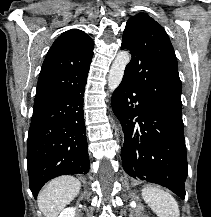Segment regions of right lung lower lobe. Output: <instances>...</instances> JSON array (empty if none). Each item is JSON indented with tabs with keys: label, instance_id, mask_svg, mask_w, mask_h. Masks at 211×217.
I'll return each instance as SVG.
<instances>
[{
	"label": "right lung lower lobe",
	"instance_id": "obj_1",
	"mask_svg": "<svg viewBox=\"0 0 211 217\" xmlns=\"http://www.w3.org/2000/svg\"><path fill=\"white\" fill-rule=\"evenodd\" d=\"M85 85L86 80L69 93L33 109L27 168L34 198L52 178L89 172L83 113Z\"/></svg>",
	"mask_w": 211,
	"mask_h": 217
}]
</instances>
